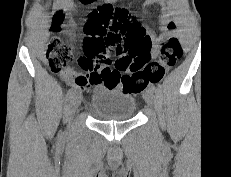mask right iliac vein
Returning a JSON list of instances; mask_svg holds the SVG:
<instances>
[{"instance_id":"right-iliac-vein-1","label":"right iliac vein","mask_w":231,"mask_h":177,"mask_svg":"<svg viewBox=\"0 0 231 177\" xmlns=\"http://www.w3.org/2000/svg\"><path fill=\"white\" fill-rule=\"evenodd\" d=\"M81 100H82L81 92L79 91L74 92V94L70 98V103H69V110H68L69 118H71L73 114L76 112V110L78 109L81 103Z\"/></svg>"}]
</instances>
